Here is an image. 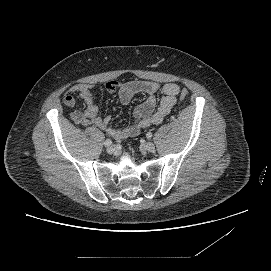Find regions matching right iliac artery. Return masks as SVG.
Returning <instances> with one entry per match:
<instances>
[{
    "label": "right iliac artery",
    "mask_w": 271,
    "mask_h": 271,
    "mask_svg": "<svg viewBox=\"0 0 271 271\" xmlns=\"http://www.w3.org/2000/svg\"><path fill=\"white\" fill-rule=\"evenodd\" d=\"M112 144V141L110 139L105 140L104 145L106 147L110 146Z\"/></svg>",
    "instance_id": "right-iliac-artery-1"
}]
</instances>
